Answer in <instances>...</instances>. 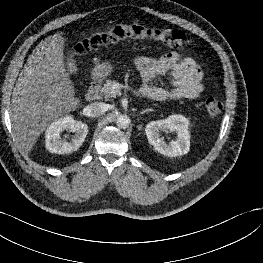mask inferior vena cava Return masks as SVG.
<instances>
[{
  "mask_svg": "<svg viewBox=\"0 0 263 263\" xmlns=\"http://www.w3.org/2000/svg\"><path fill=\"white\" fill-rule=\"evenodd\" d=\"M107 110L106 104L93 102L85 108V114L89 117H98Z\"/></svg>",
  "mask_w": 263,
  "mask_h": 263,
  "instance_id": "obj_1",
  "label": "inferior vena cava"
}]
</instances>
